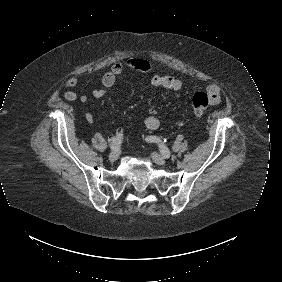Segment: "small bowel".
Segmentation results:
<instances>
[{
  "mask_svg": "<svg viewBox=\"0 0 282 282\" xmlns=\"http://www.w3.org/2000/svg\"><path fill=\"white\" fill-rule=\"evenodd\" d=\"M124 67H129L131 69L144 72L151 73L153 72L152 65L145 59L140 57H131L128 58L125 62H116L112 65V67L105 73L102 86L97 87L92 91V95L95 98H101L105 96L108 92H110L116 85L118 76L122 73ZM78 83V77L72 76L67 79L64 84V88L66 89L64 93V98L67 101H75L77 99V93L71 88L74 87ZM151 86L153 88H165L169 90H180L182 88V82L174 77L154 74L151 78ZM207 94L210 99L211 105H217L221 101V91L220 88L216 85H210L206 89ZM81 102L86 103L87 97L82 96ZM86 120L88 123L92 124L94 122L93 114L88 112L86 114ZM144 125L146 128L150 130H155L159 127L160 121L151 113L144 119ZM117 137H121L123 135V130L121 128L117 129L115 132Z\"/></svg>",
  "mask_w": 282,
  "mask_h": 282,
  "instance_id": "c3829d8e",
  "label": "small bowel"
}]
</instances>
